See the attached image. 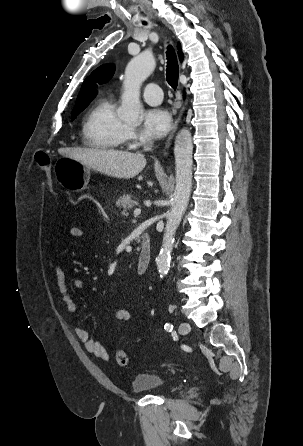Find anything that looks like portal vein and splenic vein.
<instances>
[{
	"label": "portal vein and splenic vein",
	"mask_w": 303,
	"mask_h": 446,
	"mask_svg": "<svg viewBox=\"0 0 303 446\" xmlns=\"http://www.w3.org/2000/svg\"><path fill=\"white\" fill-rule=\"evenodd\" d=\"M140 213H141V209H140V208H136V209L134 210V215H135V216L140 215Z\"/></svg>",
	"instance_id": "obj_1"
}]
</instances>
